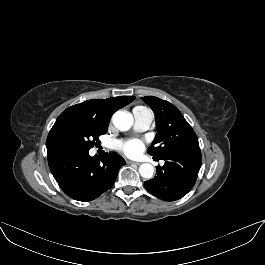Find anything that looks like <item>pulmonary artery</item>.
Here are the masks:
<instances>
[{
  "label": "pulmonary artery",
  "mask_w": 265,
  "mask_h": 265,
  "mask_svg": "<svg viewBox=\"0 0 265 265\" xmlns=\"http://www.w3.org/2000/svg\"><path fill=\"white\" fill-rule=\"evenodd\" d=\"M133 119H134V128L143 132L149 129L152 123V114L151 112L144 107L134 108L132 111Z\"/></svg>",
  "instance_id": "pulmonary-artery-1"
}]
</instances>
